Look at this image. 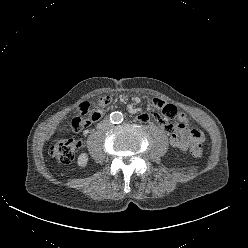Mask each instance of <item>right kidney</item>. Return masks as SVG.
<instances>
[{
    "instance_id": "right-kidney-1",
    "label": "right kidney",
    "mask_w": 248,
    "mask_h": 248,
    "mask_svg": "<svg viewBox=\"0 0 248 248\" xmlns=\"http://www.w3.org/2000/svg\"><path fill=\"white\" fill-rule=\"evenodd\" d=\"M88 163V155L86 153H81L78 156L77 164L81 167H85Z\"/></svg>"
}]
</instances>
